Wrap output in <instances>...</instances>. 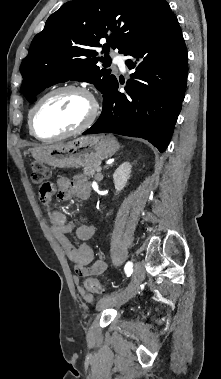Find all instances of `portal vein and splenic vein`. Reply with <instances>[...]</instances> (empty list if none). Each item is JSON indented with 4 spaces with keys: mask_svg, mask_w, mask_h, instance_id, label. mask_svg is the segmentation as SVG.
<instances>
[{
    "mask_svg": "<svg viewBox=\"0 0 221 379\" xmlns=\"http://www.w3.org/2000/svg\"><path fill=\"white\" fill-rule=\"evenodd\" d=\"M100 171H101V168L99 167V168H98V172H100Z\"/></svg>",
    "mask_w": 221,
    "mask_h": 379,
    "instance_id": "obj_1",
    "label": "portal vein and splenic vein"
}]
</instances>
